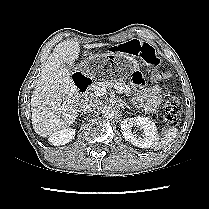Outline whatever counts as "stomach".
Instances as JSON below:
<instances>
[{
	"label": "stomach",
	"mask_w": 209,
	"mask_h": 209,
	"mask_svg": "<svg viewBox=\"0 0 209 209\" xmlns=\"http://www.w3.org/2000/svg\"><path fill=\"white\" fill-rule=\"evenodd\" d=\"M138 68L139 63L134 56L109 53L89 57L84 63L83 70L89 80L106 83L121 80Z\"/></svg>",
	"instance_id": "0dacf381"
}]
</instances>
